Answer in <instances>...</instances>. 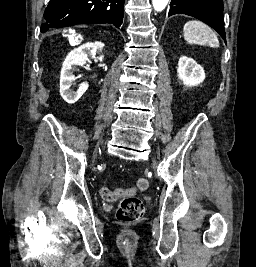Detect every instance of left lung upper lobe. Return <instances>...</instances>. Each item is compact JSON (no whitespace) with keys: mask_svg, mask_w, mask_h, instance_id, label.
Instances as JSON below:
<instances>
[{"mask_svg":"<svg viewBox=\"0 0 256 267\" xmlns=\"http://www.w3.org/2000/svg\"><path fill=\"white\" fill-rule=\"evenodd\" d=\"M186 14L214 28L226 42L222 0H171L168 16Z\"/></svg>","mask_w":256,"mask_h":267,"instance_id":"left-lung-upper-lobe-1","label":"left lung upper lobe"}]
</instances>
